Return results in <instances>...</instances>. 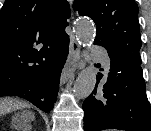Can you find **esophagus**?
Segmentation results:
<instances>
[{
  "mask_svg": "<svg viewBox=\"0 0 151 131\" xmlns=\"http://www.w3.org/2000/svg\"><path fill=\"white\" fill-rule=\"evenodd\" d=\"M80 67V47L74 36L71 35L69 54L61 74V83H65L67 79Z\"/></svg>",
  "mask_w": 151,
  "mask_h": 131,
  "instance_id": "esophagus-1",
  "label": "esophagus"
}]
</instances>
